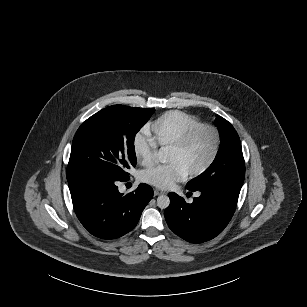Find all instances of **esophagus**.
Returning a JSON list of instances; mask_svg holds the SVG:
<instances>
[{"label":"esophagus","mask_w":307,"mask_h":307,"mask_svg":"<svg viewBox=\"0 0 307 307\" xmlns=\"http://www.w3.org/2000/svg\"><path fill=\"white\" fill-rule=\"evenodd\" d=\"M162 194H165V192L162 191V190H159V189H155V190H154V195H155V196L162 195Z\"/></svg>","instance_id":"34e87169"}]
</instances>
